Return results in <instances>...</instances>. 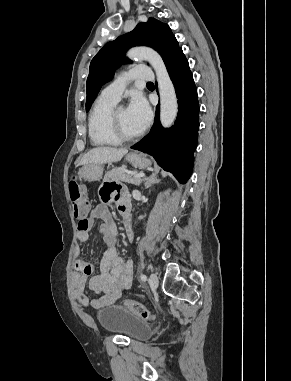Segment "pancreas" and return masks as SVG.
I'll return each instance as SVG.
<instances>
[{"instance_id": "cf45deb5", "label": "pancreas", "mask_w": 291, "mask_h": 381, "mask_svg": "<svg viewBox=\"0 0 291 381\" xmlns=\"http://www.w3.org/2000/svg\"><path fill=\"white\" fill-rule=\"evenodd\" d=\"M135 174L136 171L126 173V169L124 167H116L105 174L104 181H123L139 185L141 183V179L133 177Z\"/></svg>"}]
</instances>
